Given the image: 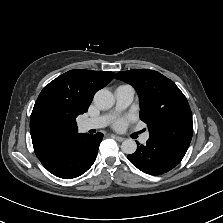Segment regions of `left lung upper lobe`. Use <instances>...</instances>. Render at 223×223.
<instances>
[{
    "label": "left lung upper lobe",
    "instance_id": "left-lung-upper-lobe-1",
    "mask_svg": "<svg viewBox=\"0 0 223 223\" xmlns=\"http://www.w3.org/2000/svg\"><path fill=\"white\" fill-rule=\"evenodd\" d=\"M131 84L140 98V119L148 125L149 137L188 149L192 113L188 101L173 81L154 70L133 69L116 75Z\"/></svg>",
    "mask_w": 223,
    "mask_h": 223
}]
</instances>
